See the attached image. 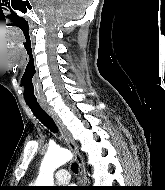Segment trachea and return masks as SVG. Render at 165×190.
Here are the masks:
<instances>
[{
    "instance_id": "obj_1",
    "label": "trachea",
    "mask_w": 165,
    "mask_h": 190,
    "mask_svg": "<svg viewBox=\"0 0 165 190\" xmlns=\"http://www.w3.org/2000/svg\"><path fill=\"white\" fill-rule=\"evenodd\" d=\"M27 105L31 109L35 117L39 119V121H41L44 126L50 129L52 132H58V128L53 119L41 108L38 103H27ZM71 169L74 173H78V164L75 162L72 163Z\"/></svg>"
}]
</instances>
